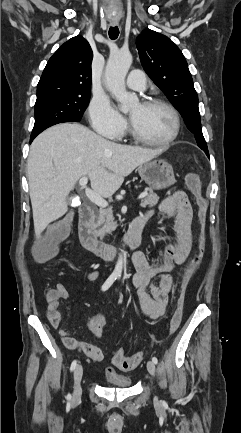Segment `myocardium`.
<instances>
[{"mask_svg": "<svg viewBox=\"0 0 241 433\" xmlns=\"http://www.w3.org/2000/svg\"><path fill=\"white\" fill-rule=\"evenodd\" d=\"M142 105H144V106H163V107L167 108L171 112V114L174 118V130H173V133L168 138H166L165 140L153 141V140H150V139L144 137L143 135H141L135 129L132 122H130L129 129H130V133H131L132 137L136 141H138L139 143L149 145V146H155V147L167 146V145L171 144L172 142H174L176 140V138L178 137V135L180 133V129H181V119H180V115H179V112L177 111V109L170 102H168L164 99H159V98H152V99L145 100L142 103Z\"/></svg>", "mask_w": 241, "mask_h": 433, "instance_id": "obj_1", "label": "myocardium"}]
</instances>
